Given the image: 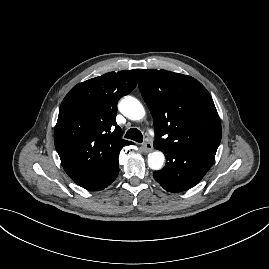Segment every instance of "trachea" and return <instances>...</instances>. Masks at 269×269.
Masks as SVG:
<instances>
[{"label": "trachea", "mask_w": 269, "mask_h": 269, "mask_svg": "<svg viewBox=\"0 0 269 269\" xmlns=\"http://www.w3.org/2000/svg\"><path fill=\"white\" fill-rule=\"evenodd\" d=\"M125 138L134 140L136 142L142 143L143 142V135L142 133L136 129L131 128L126 132Z\"/></svg>", "instance_id": "obj_1"}]
</instances>
